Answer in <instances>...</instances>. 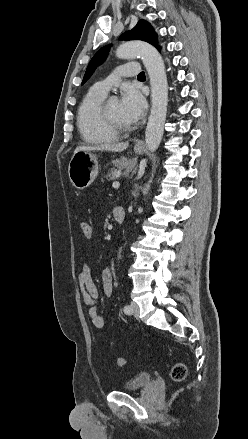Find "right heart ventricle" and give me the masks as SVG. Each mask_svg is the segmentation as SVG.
Masks as SVG:
<instances>
[{
  "mask_svg": "<svg viewBox=\"0 0 248 439\" xmlns=\"http://www.w3.org/2000/svg\"><path fill=\"white\" fill-rule=\"evenodd\" d=\"M105 97L92 87L78 107L77 127L82 139L88 144L112 143L119 139V134L109 131L101 121L99 112Z\"/></svg>",
  "mask_w": 248,
  "mask_h": 439,
  "instance_id": "1",
  "label": "right heart ventricle"
}]
</instances>
